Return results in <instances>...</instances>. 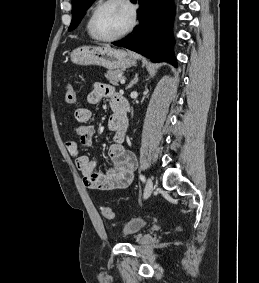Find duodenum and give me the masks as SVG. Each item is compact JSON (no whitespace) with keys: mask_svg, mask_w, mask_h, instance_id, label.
<instances>
[{"mask_svg":"<svg viewBox=\"0 0 259 283\" xmlns=\"http://www.w3.org/2000/svg\"><path fill=\"white\" fill-rule=\"evenodd\" d=\"M116 114H117V117H118L120 123L127 125L126 103H125V100L121 96H119V98H118V103H117V107H116Z\"/></svg>","mask_w":259,"mask_h":283,"instance_id":"1","label":"duodenum"}]
</instances>
